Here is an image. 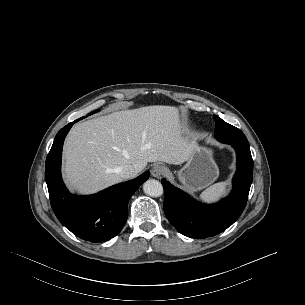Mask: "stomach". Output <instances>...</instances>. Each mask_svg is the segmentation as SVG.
I'll return each instance as SVG.
<instances>
[{"label":"stomach","mask_w":305,"mask_h":305,"mask_svg":"<svg viewBox=\"0 0 305 305\" xmlns=\"http://www.w3.org/2000/svg\"><path fill=\"white\" fill-rule=\"evenodd\" d=\"M175 175L183 188L191 192L212 184L219 175L213 151L206 146L196 145L186 164Z\"/></svg>","instance_id":"1"}]
</instances>
